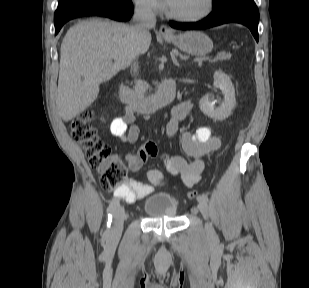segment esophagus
<instances>
[{
	"label": "esophagus",
	"mask_w": 309,
	"mask_h": 288,
	"mask_svg": "<svg viewBox=\"0 0 309 288\" xmlns=\"http://www.w3.org/2000/svg\"><path fill=\"white\" fill-rule=\"evenodd\" d=\"M159 33L161 35H171L172 34V31L165 25H162L160 28H159Z\"/></svg>",
	"instance_id": "1"
}]
</instances>
